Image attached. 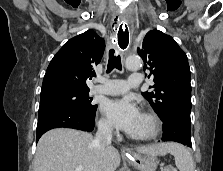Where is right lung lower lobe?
Returning a JSON list of instances; mask_svg holds the SVG:
<instances>
[{"instance_id":"98d812e1","label":"right lung lower lobe","mask_w":223,"mask_h":171,"mask_svg":"<svg viewBox=\"0 0 223 171\" xmlns=\"http://www.w3.org/2000/svg\"><path fill=\"white\" fill-rule=\"evenodd\" d=\"M95 115L90 116L81 111L60 108L49 110L39 115L36 141L48 130L53 128H74L83 131H92L95 126Z\"/></svg>"}]
</instances>
